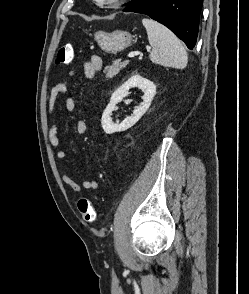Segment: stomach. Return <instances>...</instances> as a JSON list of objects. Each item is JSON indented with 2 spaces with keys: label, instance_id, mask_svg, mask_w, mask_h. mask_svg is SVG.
Masks as SVG:
<instances>
[{
  "label": "stomach",
  "instance_id": "stomach-1",
  "mask_svg": "<svg viewBox=\"0 0 249 294\" xmlns=\"http://www.w3.org/2000/svg\"><path fill=\"white\" fill-rule=\"evenodd\" d=\"M95 40L103 51L116 54L131 45L132 35L122 30L111 33L98 31L95 33Z\"/></svg>",
  "mask_w": 249,
  "mask_h": 294
}]
</instances>
